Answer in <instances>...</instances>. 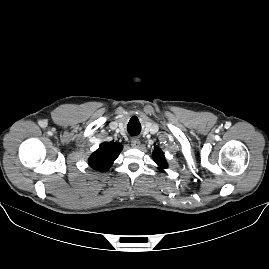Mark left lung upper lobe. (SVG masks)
Masks as SVG:
<instances>
[{
    "label": "left lung upper lobe",
    "mask_w": 269,
    "mask_h": 269,
    "mask_svg": "<svg viewBox=\"0 0 269 269\" xmlns=\"http://www.w3.org/2000/svg\"><path fill=\"white\" fill-rule=\"evenodd\" d=\"M153 159L161 169L167 168L166 160L164 158L162 151L159 148H156L153 151Z\"/></svg>",
    "instance_id": "5c2ea615"
}]
</instances>
